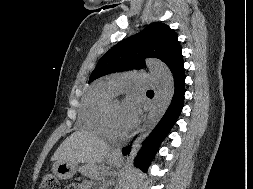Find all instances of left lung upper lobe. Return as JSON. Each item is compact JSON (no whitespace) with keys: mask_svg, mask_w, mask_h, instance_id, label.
Returning <instances> with one entry per match:
<instances>
[{"mask_svg":"<svg viewBox=\"0 0 253 189\" xmlns=\"http://www.w3.org/2000/svg\"><path fill=\"white\" fill-rule=\"evenodd\" d=\"M181 51L177 34L168 25L154 22L113 46L97 63L89 83L110 73L142 68L148 57L162 60L173 72L183 62Z\"/></svg>","mask_w":253,"mask_h":189,"instance_id":"1","label":"left lung upper lobe"}]
</instances>
